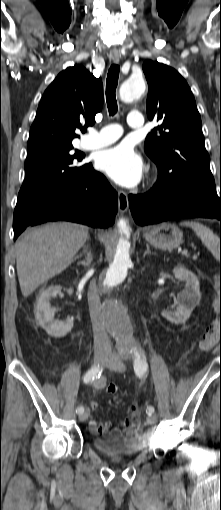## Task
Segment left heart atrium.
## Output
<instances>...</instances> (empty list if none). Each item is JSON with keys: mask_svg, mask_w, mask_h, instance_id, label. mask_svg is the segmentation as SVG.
I'll use <instances>...</instances> for the list:
<instances>
[{"mask_svg": "<svg viewBox=\"0 0 221 510\" xmlns=\"http://www.w3.org/2000/svg\"><path fill=\"white\" fill-rule=\"evenodd\" d=\"M96 162L100 170L122 186L136 185L142 175L141 158L127 144H120L100 152Z\"/></svg>", "mask_w": 221, "mask_h": 510, "instance_id": "39dd6f15", "label": "left heart atrium"}]
</instances>
